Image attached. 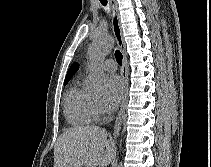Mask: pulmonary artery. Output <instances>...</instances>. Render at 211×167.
Here are the masks:
<instances>
[{
    "mask_svg": "<svg viewBox=\"0 0 211 167\" xmlns=\"http://www.w3.org/2000/svg\"><path fill=\"white\" fill-rule=\"evenodd\" d=\"M103 68L108 71V72H115L117 69V63L115 62V60L113 59H107L104 63H103Z\"/></svg>",
    "mask_w": 211,
    "mask_h": 167,
    "instance_id": "1",
    "label": "pulmonary artery"
}]
</instances>
